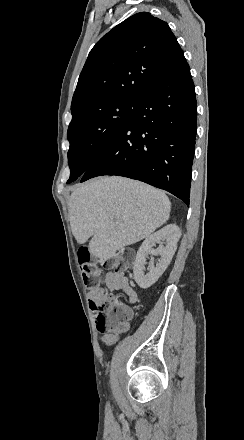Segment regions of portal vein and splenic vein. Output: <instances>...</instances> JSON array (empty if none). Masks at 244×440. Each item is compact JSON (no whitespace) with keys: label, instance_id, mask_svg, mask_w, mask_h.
Instances as JSON below:
<instances>
[{"label":"portal vein and splenic vein","instance_id":"18ae733b","mask_svg":"<svg viewBox=\"0 0 244 440\" xmlns=\"http://www.w3.org/2000/svg\"><path fill=\"white\" fill-rule=\"evenodd\" d=\"M115 224H121V222H119V220H116Z\"/></svg>","mask_w":244,"mask_h":440}]
</instances>
